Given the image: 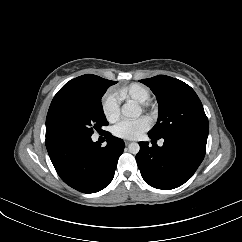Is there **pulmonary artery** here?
<instances>
[{
  "instance_id": "1",
  "label": "pulmonary artery",
  "mask_w": 242,
  "mask_h": 242,
  "mask_svg": "<svg viewBox=\"0 0 242 242\" xmlns=\"http://www.w3.org/2000/svg\"><path fill=\"white\" fill-rule=\"evenodd\" d=\"M162 144H163V141H160V142H159V145H162Z\"/></svg>"
}]
</instances>
